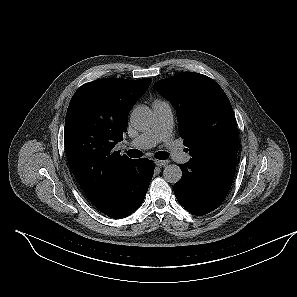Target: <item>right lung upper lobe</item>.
Segmentation results:
<instances>
[{"mask_svg":"<svg viewBox=\"0 0 297 297\" xmlns=\"http://www.w3.org/2000/svg\"><path fill=\"white\" fill-rule=\"evenodd\" d=\"M152 79L103 78L82 85L65 120L69 166L87 198L100 208L131 169L134 160L115 151L127 131L128 114Z\"/></svg>","mask_w":297,"mask_h":297,"instance_id":"right-lung-upper-lobe-1","label":"right lung upper lobe"}]
</instances>
